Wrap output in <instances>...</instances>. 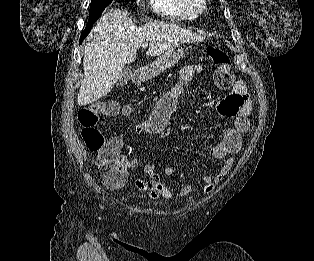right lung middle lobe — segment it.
Segmentation results:
<instances>
[{"instance_id":"dd1d6c3e","label":"right lung middle lobe","mask_w":314,"mask_h":261,"mask_svg":"<svg viewBox=\"0 0 314 261\" xmlns=\"http://www.w3.org/2000/svg\"><path fill=\"white\" fill-rule=\"evenodd\" d=\"M113 0H91L89 20L87 25L94 24L102 12L112 3Z\"/></svg>"}]
</instances>
